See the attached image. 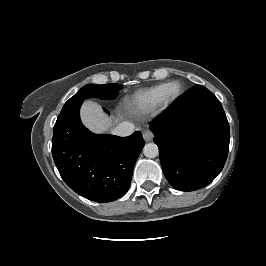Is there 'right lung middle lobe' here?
<instances>
[{
	"label": "right lung middle lobe",
	"mask_w": 266,
	"mask_h": 266,
	"mask_svg": "<svg viewBox=\"0 0 266 266\" xmlns=\"http://www.w3.org/2000/svg\"><path fill=\"white\" fill-rule=\"evenodd\" d=\"M121 88L122 85H119L117 83L104 85H85L65 103L61 110V113H63L70 107H73L74 105L83 102L87 98H100L105 100L115 99L118 96V91Z\"/></svg>",
	"instance_id": "right-lung-middle-lobe-1"
}]
</instances>
